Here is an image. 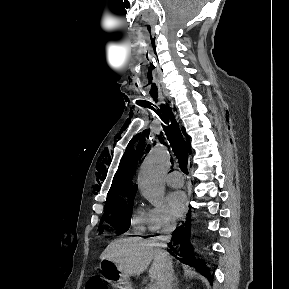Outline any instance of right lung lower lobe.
<instances>
[{
	"label": "right lung lower lobe",
	"instance_id": "98d812e1",
	"mask_svg": "<svg viewBox=\"0 0 289 289\" xmlns=\"http://www.w3.org/2000/svg\"><path fill=\"white\" fill-rule=\"evenodd\" d=\"M189 213L187 220L184 221L183 224L175 230L173 234L174 239L171 240V243L168 244V247H170V253L173 256H177L178 260L198 268L212 282L213 276L208 273V269L205 267V262L202 260H196L194 258L193 248L190 244L191 215Z\"/></svg>",
	"mask_w": 289,
	"mask_h": 289
}]
</instances>
